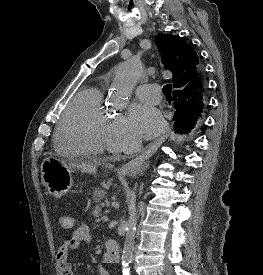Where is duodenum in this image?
Segmentation results:
<instances>
[{"label": "duodenum", "instance_id": "obj_1", "mask_svg": "<svg viewBox=\"0 0 263 275\" xmlns=\"http://www.w3.org/2000/svg\"><path fill=\"white\" fill-rule=\"evenodd\" d=\"M119 260H120V247L118 243L113 239H107L104 262L113 264V263H118Z\"/></svg>", "mask_w": 263, "mask_h": 275}]
</instances>
